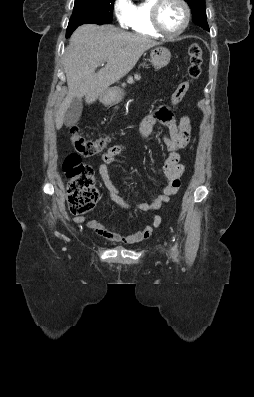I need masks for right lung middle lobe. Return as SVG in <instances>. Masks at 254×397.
<instances>
[{
  "label": "right lung middle lobe",
  "mask_w": 254,
  "mask_h": 397,
  "mask_svg": "<svg viewBox=\"0 0 254 397\" xmlns=\"http://www.w3.org/2000/svg\"><path fill=\"white\" fill-rule=\"evenodd\" d=\"M114 0H75L74 10L67 28L87 23L109 24Z\"/></svg>",
  "instance_id": "right-lung-middle-lobe-1"
}]
</instances>
